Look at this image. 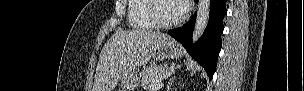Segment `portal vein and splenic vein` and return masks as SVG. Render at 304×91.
<instances>
[{"label":"portal vein and splenic vein","instance_id":"obj_1","mask_svg":"<svg viewBox=\"0 0 304 91\" xmlns=\"http://www.w3.org/2000/svg\"><path fill=\"white\" fill-rule=\"evenodd\" d=\"M161 86H162V84L157 83V84H155V85H153V86L151 87V91H156V90L159 89Z\"/></svg>","mask_w":304,"mask_h":91}]
</instances>
